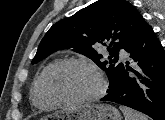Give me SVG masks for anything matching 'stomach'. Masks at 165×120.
Here are the masks:
<instances>
[{"label": "stomach", "instance_id": "0dacf381", "mask_svg": "<svg viewBox=\"0 0 165 120\" xmlns=\"http://www.w3.org/2000/svg\"><path fill=\"white\" fill-rule=\"evenodd\" d=\"M61 120H121L119 111L108 104L82 103L69 110L57 111L46 117Z\"/></svg>", "mask_w": 165, "mask_h": 120}]
</instances>
